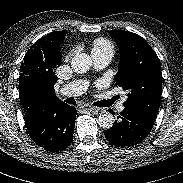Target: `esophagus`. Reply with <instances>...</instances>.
Instances as JSON below:
<instances>
[{
	"instance_id": "34e87169",
	"label": "esophagus",
	"mask_w": 183,
	"mask_h": 183,
	"mask_svg": "<svg viewBox=\"0 0 183 183\" xmlns=\"http://www.w3.org/2000/svg\"><path fill=\"white\" fill-rule=\"evenodd\" d=\"M84 108L92 111L93 113L100 112V108L94 107V106H91V105H85Z\"/></svg>"
}]
</instances>
